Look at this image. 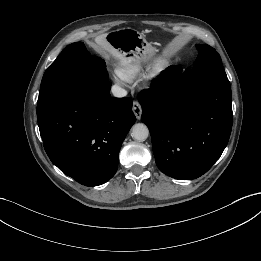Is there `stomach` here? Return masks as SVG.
Listing matches in <instances>:
<instances>
[{
	"label": "stomach",
	"mask_w": 261,
	"mask_h": 261,
	"mask_svg": "<svg viewBox=\"0 0 261 261\" xmlns=\"http://www.w3.org/2000/svg\"><path fill=\"white\" fill-rule=\"evenodd\" d=\"M106 40L130 61L145 62L154 53V48L145 37L132 28L111 31L107 33Z\"/></svg>",
	"instance_id": "0dacf381"
}]
</instances>
